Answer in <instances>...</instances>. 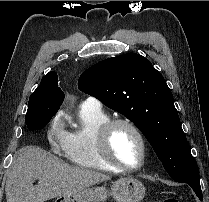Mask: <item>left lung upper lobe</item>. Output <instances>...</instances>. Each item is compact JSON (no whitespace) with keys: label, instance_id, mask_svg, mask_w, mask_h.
Segmentation results:
<instances>
[{"label":"left lung upper lobe","instance_id":"obj_1","mask_svg":"<svg viewBox=\"0 0 209 202\" xmlns=\"http://www.w3.org/2000/svg\"><path fill=\"white\" fill-rule=\"evenodd\" d=\"M78 86L131 120L173 180L200 181L172 92L148 59L127 53L100 61L80 76Z\"/></svg>","mask_w":209,"mask_h":202}]
</instances>
